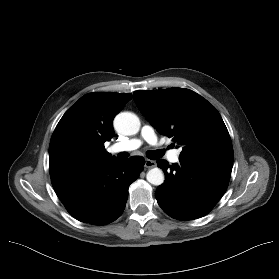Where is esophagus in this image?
Returning <instances> with one entry per match:
<instances>
[{
	"mask_svg": "<svg viewBox=\"0 0 279 279\" xmlns=\"http://www.w3.org/2000/svg\"><path fill=\"white\" fill-rule=\"evenodd\" d=\"M155 166H156V162L155 161L146 159V161H145V167L146 168H153Z\"/></svg>",
	"mask_w": 279,
	"mask_h": 279,
	"instance_id": "esophagus-1",
	"label": "esophagus"
}]
</instances>
